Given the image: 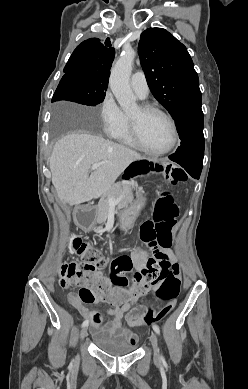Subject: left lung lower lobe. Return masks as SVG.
<instances>
[{"mask_svg": "<svg viewBox=\"0 0 248 389\" xmlns=\"http://www.w3.org/2000/svg\"><path fill=\"white\" fill-rule=\"evenodd\" d=\"M201 101L185 106L174 118L181 146L169 159L182 166L189 175L199 179L204 157L203 112Z\"/></svg>", "mask_w": 248, "mask_h": 389, "instance_id": "obj_1", "label": "left lung lower lobe"}]
</instances>
